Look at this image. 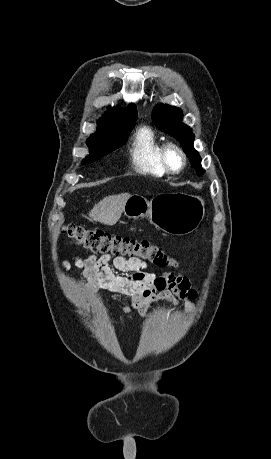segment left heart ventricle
Here are the masks:
<instances>
[{
    "label": "left heart ventricle",
    "instance_id": "left-heart-ventricle-1",
    "mask_svg": "<svg viewBox=\"0 0 271 459\" xmlns=\"http://www.w3.org/2000/svg\"><path fill=\"white\" fill-rule=\"evenodd\" d=\"M170 163L173 168L178 169L182 164L180 155L177 152L172 151L169 156Z\"/></svg>",
    "mask_w": 271,
    "mask_h": 459
}]
</instances>
